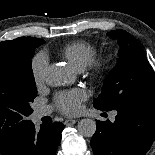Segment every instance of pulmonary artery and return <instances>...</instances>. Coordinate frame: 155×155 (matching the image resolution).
<instances>
[{"label": "pulmonary artery", "mask_w": 155, "mask_h": 155, "mask_svg": "<svg viewBox=\"0 0 155 155\" xmlns=\"http://www.w3.org/2000/svg\"><path fill=\"white\" fill-rule=\"evenodd\" d=\"M50 112H51V110H50V108H48V107H41V108H38V109H36L35 112H34V118H35L36 120H39V119H41L42 117H44V116L50 114ZM115 115H116V113H113V114H112V118H114Z\"/></svg>", "instance_id": "e3ab8cb5"}]
</instances>
